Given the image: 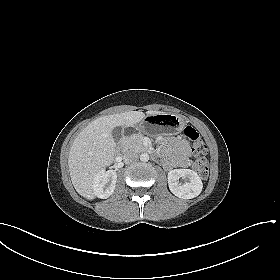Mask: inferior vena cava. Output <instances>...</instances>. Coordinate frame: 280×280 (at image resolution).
Returning <instances> with one entry per match:
<instances>
[{
	"mask_svg": "<svg viewBox=\"0 0 280 280\" xmlns=\"http://www.w3.org/2000/svg\"><path fill=\"white\" fill-rule=\"evenodd\" d=\"M125 163H131L138 160V154L135 152H127L123 156Z\"/></svg>",
	"mask_w": 280,
	"mask_h": 280,
	"instance_id": "602c4592",
	"label": "inferior vena cava"
}]
</instances>
